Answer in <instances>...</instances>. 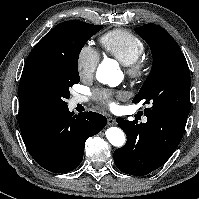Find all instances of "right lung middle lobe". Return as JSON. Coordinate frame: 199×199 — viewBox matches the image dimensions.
Here are the masks:
<instances>
[{
  "instance_id": "obj_1",
  "label": "right lung middle lobe",
  "mask_w": 199,
  "mask_h": 199,
  "mask_svg": "<svg viewBox=\"0 0 199 199\" xmlns=\"http://www.w3.org/2000/svg\"><path fill=\"white\" fill-rule=\"evenodd\" d=\"M102 27L69 20L46 34L24 66L19 84L23 96L50 112L68 107L69 88L80 81V51Z\"/></svg>"
}]
</instances>
